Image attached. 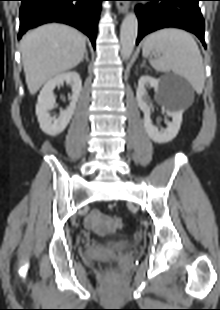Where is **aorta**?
<instances>
[{"mask_svg":"<svg viewBox=\"0 0 220 310\" xmlns=\"http://www.w3.org/2000/svg\"><path fill=\"white\" fill-rule=\"evenodd\" d=\"M138 32V19L134 13H128L120 29L121 55L123 59H129L135 46Z\"/></svg>","mask_w":220,"mask_h":310,"instance_id":"762f6f07","label":"aorta"}]
</instances>
